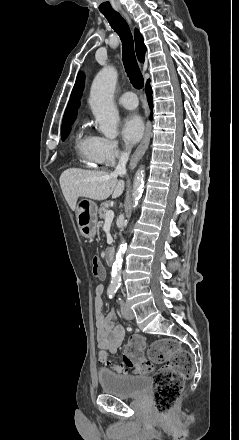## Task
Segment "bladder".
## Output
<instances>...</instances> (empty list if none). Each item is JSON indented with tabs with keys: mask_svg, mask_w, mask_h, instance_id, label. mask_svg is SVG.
<instances>
[{
	"mask_svg": "<svg viewBox=\"0 0 239 440\" xmlns=\"http://www.w3.org/2000/svg\"><path fill=\"white\" fill-rule=\"evenodd\" d=\"M97 379L101 390L119 398H137L149 387V379L144 376L120 375L108 369H100Z\"/></svg>",
	"mask_w": 239,
	"mask_h": 440,
	"instance_id": "bladder-1",
	"label": "bladder"
}]
</instances>
